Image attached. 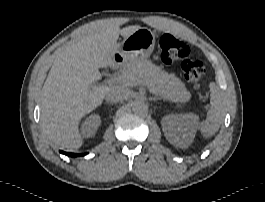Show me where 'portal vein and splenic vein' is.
Segmentation results:
<instances>
[{
    "mask_svg": "<svg viewBox=\"0 0 265 202\" xmlns=\"http://www.w3.org/2000/svg\"><path fill=\"white\" fill-rule=\"evenodd\" d=\"M125 78H126L125 76H121V77H119V78L112 79L111 81L118 80V81H120V82H123V83H124V81H125ZM151 92H152V93H155V94H157L156 90H154V89H151Z\"/></svg>",
    "mask_w": 265,
    "mask_h": 202,
    "instance_id": "portal-vein-and-splenic-vein-1",
    "label": "portal vein and splenic vein"
}]
</instances>
